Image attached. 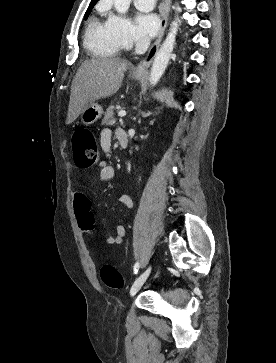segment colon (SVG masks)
<instances>
[{
  "label": "colon",
  "mask_w": 276,
  "mask_h": 363,
  "mask_svg": "<svg viewBox=\"0 0 276 363\" xmlns=\"http://www.w3.org/2000/svg\"><path fill=\"white\" fill-rule=\"evenodd\" d=\"M72 149L75 162L79 167L88 168L98 162L99 147L91 130L86 128L76 130L72 135ZM78 218L82 230L91 228L93 221H84L81 215ZM100 277L103 283L110 288L117 289L124 285L123 276L114 266H102Z\"/></svg>",
  "instance_id": "1"
}]
</instances>
